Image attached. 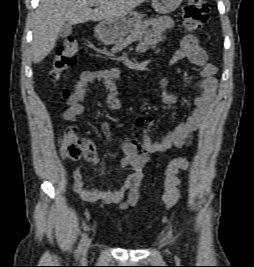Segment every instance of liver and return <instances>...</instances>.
<instances>
[{
	"label": "liver",
	"instance_id": "liver-1",
	"mask_svg": "<svg viewBox=\"0 0 254 267\" xmlns=\"http://www.w3.org/2000/svg\"><path fill=\"white\" fill-rule=\"evenodd\" d=\"M146 0H41L35 12L32 56L42 61L55 47L61 27L69 24L100 21L124 16ZM98 7L91 9L93 4Z\"/></svg>",
	"mask_w": 254,
	"mask_h": 267
}]
</instances>
